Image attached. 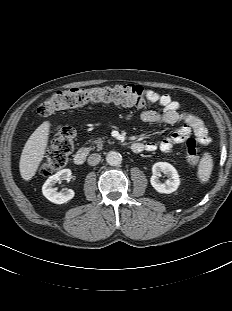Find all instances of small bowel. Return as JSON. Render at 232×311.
I'll return each mask as SVG.
<instances>
[{"label": "small bowel", "instance_id": "small-bowel-1", "mask_svg": "<svg viewBox=\"0 0 232 311\" xmlns=\"http://www.w3.org/2000/svg\"><path fill=\"white\" fill-rule=\"evenodd\" d=\"M145 94L150 103L158 104L161 109L159 111H142L140 119L144 123L149 125L182 123L178 129L160 142L146 143L144 145L145 150L152 152L159 149L161 152L169 154L175 145L184 143L192 135L201 145H207L210 142L206 127L197 114L192 111H181L180 104L168 94H160L151 89L146 90Z\"/></svg>", "mask_w": 232, "mask_h": 311}]
</instances>
